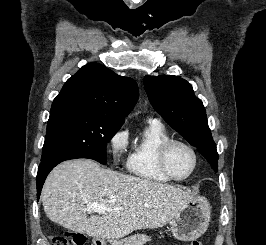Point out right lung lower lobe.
<instances>
[{
  "label": "right lung lower lobe",
  "mask_w": 266,
  "mask_h": 245,
  "mask_svg": "<svg viewBox=\"0 0 266 245\" xmlns=\"http://www.w3.org/2000/svg\"><path fill=\"white\" fill-rule=\"evenodd\" d=\"M76 158L78 157L70 156V155H60V156L49 158L40 163L39 168H38V173H37V179H36L38 200L40 197L42 186L49 172L60 162H63L65 160H70V159H76Z\"/></svg>",
  "instance_id": "98d812e1"
}]
</instances>
